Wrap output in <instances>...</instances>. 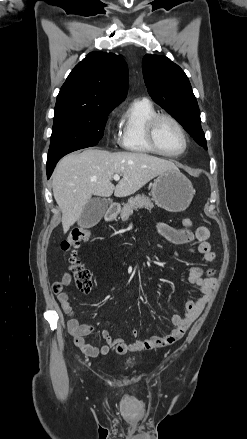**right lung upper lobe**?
Returning <instances> with one entry per match:
<instances>
[{
    "mask_svg": "<svg viewBox=\"0 0 247 439\" xmlns=\"http://www.w3.org/2000/svg\"><path fill=\"white\" fill-rule=\"evenodd\" d=\"M128 68L123 58L95 51L79 62L57 96L55 108L114 109L126 98Z\"/></svg>",
    "mask_w": 247,
    "mask_h": 439,
    "instance_id": "1",
    "label": "right lung upper lobe"
}]
</instances>
